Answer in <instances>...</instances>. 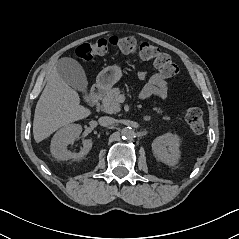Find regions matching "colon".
<instances>
[{
  "mask_svg": "<svg viewBox=\"0 0 239 239\" xmlns=\"http://www.w3.org/2000/svg\"><path fill=\"white\" fill-rule=\"evenodd\" d=\"M110 48H116L125 54H137L145 61H153L161 76L170 78L178 73L177 64L171 57L150 43H138L133 37H110L92 43H83L75 50V56L89 61L97 55H103ZM184 119L192 131L201 133L204 130V117L199 108L188 107L183 112Z\"/></svg>",
  "mask_w": 239,
  "mask_h": 239,
  "instance_id": "obj_1",
  "label": "colon"
}]
</instances>
